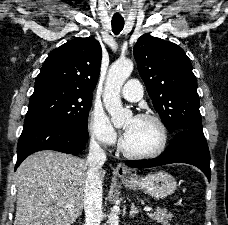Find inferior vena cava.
<instances>
[{"instance_id": "inferior-vena-cava-1", "label": "inferior vena cava", "mask_w": 228, "mask_h": 225, "mask_svg": "<svg viewBox=\"0 0 228 225\" xmlns=\"http://www.w3.org/2000/svg\"><path fill=\"white\" fill-rule=\"evenodd\" d=\"M106 161L105 151L95 139H91L87 157L88 171L84 187L85 225H100L102 221L101 169Z\"/></svg>"}]
</instances>
